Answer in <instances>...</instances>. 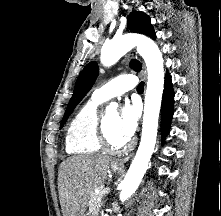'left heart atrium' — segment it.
Returning a JSON list of instances; mask_svg holds the SVG:
<instances>
[{"label":"left heart atrium","instance_id":"left-heart-atrium-1","mask_svg":"<svg viewBox=\"0 0 221 216\" xmlns=\"http://www.w3.org/2000/svg\"><path fill=\"white\" fill-rule=\"evenodd\" d=\"M139 108L135 104H125L119 115V131L123 138L130 139L136 132L139 122Z\"/></svg>","mask_w":221,"mask_h":216}]
</instances>
